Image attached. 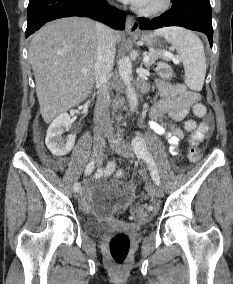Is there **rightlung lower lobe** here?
<instances>
[{"label": "right lung lower lobe", "mask_w": 233, "mask_h": 284, "mask_svg": "<svg viewBox=\"0 0 233 284\" xmlns=\"http://www.w3.org/2000/svg\"><path fill=\"white\" fill-rule=\"evenodd\" d=\"M68 16L90 17L112 28H125L126 13L109 7L106 0H30L26 37L46 22Z\"/></svg>", "instance_id": "obj_1"}]
</instances>
